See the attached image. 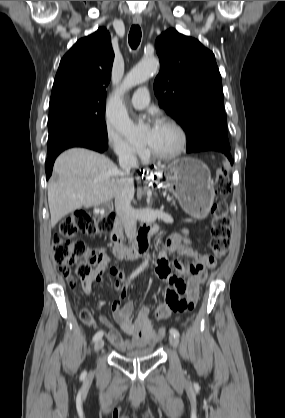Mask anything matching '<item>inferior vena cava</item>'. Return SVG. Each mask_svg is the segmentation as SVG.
Returning <instances> with one entry per match:
<instances>
[{
  "mask_svg": "<svg viewBox=\"0 0 285 418\" xmlns=\"http://www.w3.org/2000/svg\"><path fill=\"white\" fill-rule=\"evenodd\" d=\"M119 165L122 169L119 176V190L115 197V210L119 220L122 222L127 238L133 242L137 229L136 217L131 207V201L134 197V183L130 177L131 170L138 168L137 157L134 152L126 147L117 149Z\"/></svg>",
  "mask_w": 285,
  "mask_h": 418,
  "instance_id": "inferior-vena-cava-1",
  "label": "inferior vena cava"
}]
</instances>
